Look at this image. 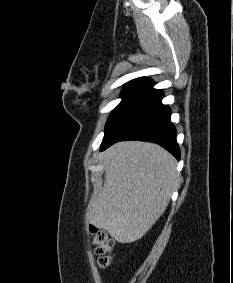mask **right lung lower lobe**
I'll list each match as a JSON object with an SVG mask.
<instances>
[{
    "instance_id": "right-lung-lower-lobe-1",
    "label": "right lung lower lobe",
    "mask_w": 233,
    "mask_h": 283,
    "mask_svg": "<svg viewBox=\"0 0 233 283\" xmlns=\"http://www.w3.org/2000/svg\"><path fill=\"white\" fill-rule=\"evenodd\" d=\"M154 84L139 96L108 138L102 142L101 150L118 141L141 140L157 143L180 159L176 129L170 120L171 110L162 104L164 93L154 89Z\"/></svg>"
}]
</instances>
